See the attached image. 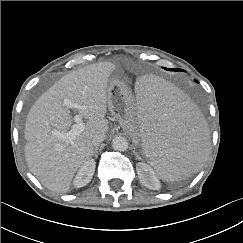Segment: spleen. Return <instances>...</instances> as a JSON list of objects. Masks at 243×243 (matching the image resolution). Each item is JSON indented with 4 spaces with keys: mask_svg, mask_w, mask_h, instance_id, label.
<instances>
[{
    "mask_svg": "<svg viewBox=\"0 0 243 243\" xmlns=\"http://www.w3.org/2000/svg\"><path fill=\"white\" fill-rule=\"evenodd\" d=\"M136 149L141 160L163 181L197 172L208 147V129L181 88L144 73L134 83Z\"/></svg>",
    "mask_w": 243,
    "mask_h": 243,
    "instance_id": "spleen-1",
    "label": "spleen"
}]
</instances>
